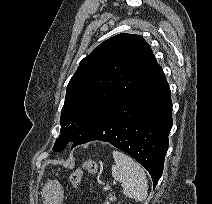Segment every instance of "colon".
I'll return each mask as SVG.
<instances>
[{
  "mask_svg": "<svg viewBox=\"0 0 212 204\" xmlns=\"http://www.w3.org/2000/svg\"><path fill=\"white\" fill-rule=\"evenodd\" d=\"M97 172V163L94 160H86L83 162L81 167L77 168L70 175V183L74 188H78L84 173L91 175Z\"/></svg>",
  "mask_w": 212,
  "mask_h": 204,
  "instance_id": "1",
  "label": "colon"
}]
</instances>
